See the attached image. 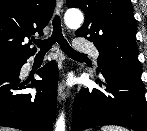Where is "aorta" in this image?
Wrapping results in <instances>:
<instances>
[{
    "instance_id": "762f6f07",
    "label": "aorta",
    "mask_w": 147,
    "mask_h": 131,
    "mask_svg": "<svg viewBox=\"0 0 147 131\" xmlns=\"http://www.w3.org/2000/svg\"><path fill=\"white\" fill-rule=\"evenodd\" d=\"M64 20L68 27H80L83 23V14L78 9H69L65 13ZM55 131H65V118L63 113L56 122Z\"/></svg>"
}]
</instances>
